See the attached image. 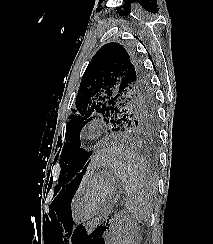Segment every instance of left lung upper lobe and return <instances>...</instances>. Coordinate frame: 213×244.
<instances>
[{"label":"left lung upper lobe","mask_w":213,"mask_h":244,"mask_svg":"<svg viewBox=\"0 0 213 244\" xmlns=\"http://www.w3.org/2000/svg\"><path fill=\"white\" fill-rule=\"evenodd\" d=\"M139 59L119 43L103 45L93 56L76 96V110L69 117L60 156L59 184L69 182L75 172L80 148V131L98 112L112 131L128 132L135 138H156L158 117L154 93ZM115 125L119 126L114 130ZM59 185V186H60Z\"/></svg>","instance_id":"5c2ea615"}]
</instances>
